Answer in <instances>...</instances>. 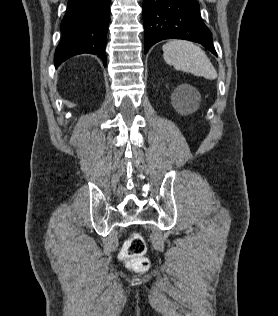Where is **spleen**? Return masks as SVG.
I'll return each instance as SVG.
<instances>
[{
  "label": "spleen",
  "mask_w": 278,
  "mask_h": 316,
  "mask_svg": "<svg viewBox=\"0 0 278 316\" xmlns=\"http://www.w3.org/2000/svg\"><path fill=\"white\" fill-rule=\"evenodd\" d=\"M162 50L166 63L173 65L177 70L208 79L217 77V72L205 52L192 42L172 40L163 45Z\"/></svg>",
  "instance_id": "spleen-1"
}]
</instances>
